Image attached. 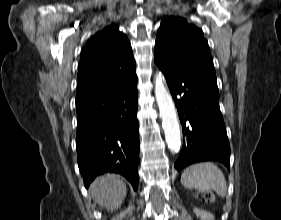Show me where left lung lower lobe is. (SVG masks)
<instances>
[{
  "instance_id": "left-lung-lower-lobe-1",
  "label": "left lung lower lobe",
  "mask_w": 281,
  "mask_h": 220,
  "mask_svg": "<svg viewBox=\"0 0 281 220\" xmlns=\"http://www.w3.org/2000/svg\"><path fill=\"white\" fill-rule=\"evenodd\" d=\"M155 63L164 73L184 128L183 147L174 167L219 161L229 169L230 145L219 107L218 87L191 69Z\"/></svg>"
}]
</instances>
